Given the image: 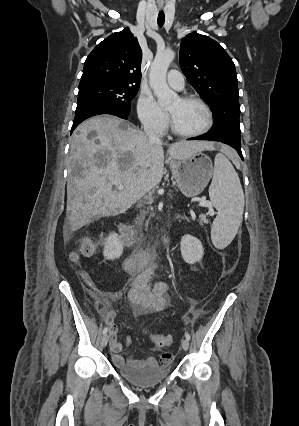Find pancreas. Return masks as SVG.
<instances>
[{
    "mask_svg": "<svg viewBox=\"0 0 299 426\" xmlns=\"http://www.w3.org/2000/svg\"><path fill=\"white\" fill-rule=\"evenodd\" d=\"M201 221H202V222H206V220H205L204 218H201ZM139 223H140V224L142 223V220H141V219H139Z\"/></svg>",
    "mask_w": 299,
    "mask_h": 426,
    "instance_id": "1",
    "label": "pancreas"
}]
</instances>
